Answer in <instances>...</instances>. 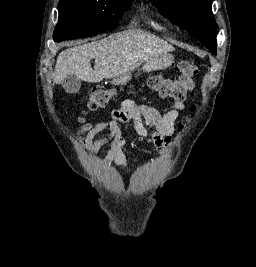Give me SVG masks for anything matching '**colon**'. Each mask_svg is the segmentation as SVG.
I'll return each mask as SVG.
<instances>
[{
	"label": "colon",
	"mask_w": 256,
	"mask_h": 267,
	"mask_svg": "<svg viewBox=\"0 0 256 267\" xmlns=\"http://www.w3.org/2000/svg\"><path fill=\"white\" fill-rule=\"evenodd\" d=\"M179 77L176 81L162 75L154 74L148 78V86L162 97H169L175 101H184L187 94L195 88L194 78L198 74V66L190 60L179 63ZM117 96V87L114 85H98L90 91L87 97L86 110L89 112L105 108ZM198 106L190 105L189 111L195 113ZM82 117H80V120ZM177 129L183 131L185 122L180 120Z\"/></svg>",
	"instance_id": "obj_1"
}]
</instances>
